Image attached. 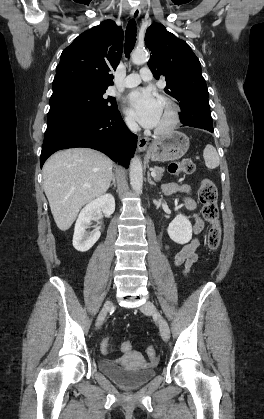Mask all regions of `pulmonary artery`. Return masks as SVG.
Wrapping results in <instances>:
<instances>
[{
	"label": "pulmonary artery",
	"instance_id": "e3ab8cb5",
	"mask_svg": "<svg viewBox=\"0 0 264 419\" xmlns=\"http://www.w3.org/2000/svg\"><path fill=\"white\" fill-rule=\"evenodd\" d=\"M151 71L149 68L144 67L140 70L139 73L129 74L124 81V85L127 88H132L137 86L142 80L149 81L151 80Z\"/></svg>",
	"mask_w": 264,
	"mask_h": 419
}]
</instances>
